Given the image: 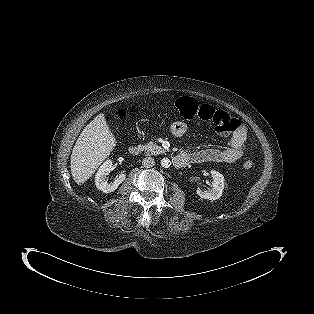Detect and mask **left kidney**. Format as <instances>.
Masks as SVG:
<instances>
[{
    "mask_svg": "<svg viewBox=\"0 0 314 314\" xmlns=\"http://www.w3.org/2000/svg\"><path fill=\"white\" fill-rule=\"evenodd\" d=\"M211 175L213 177L212 187L206 191L198 188L196 192L201 198L214 201L222 196V191L224 190V176L215 170L211 171Z\"/></svg>",
    "mask_w": 314,
    "mask_h": 314,
    "instance_id": "1",
    "label": "left kidney"
}]
</instances>
